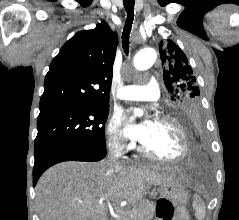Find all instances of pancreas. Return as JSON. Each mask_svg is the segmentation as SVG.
I'll list each match as a JSON object with an SVG mask.
<instances>
[{
    "instance_id": "1",
    "label": "pancreas",
    "mask_w": 239,
    "mask_h": 220,
    "mask_svg": "<svg viewBox=\"0 0 239 220\" xmlns=\"http://www.w3.org/2000/svg\"><path fill=\"white\" fill-rule=\"evenodd\" d=\"M154 214L155 206L153 204L142 205L128 210L125 214V220H150Z\"/></svg>"
}]
</instances>
